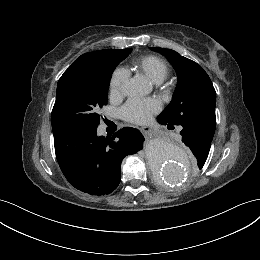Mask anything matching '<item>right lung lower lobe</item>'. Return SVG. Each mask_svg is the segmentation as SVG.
<instances>
[{
    "label": "right lung lower lobe",
    "mask_w": 260,
    "mask_h": 260,
    "mask_svg": "<svg viewBox=\"0 0 260 260\" xmlns=\"http://www.w3.org/2000/svg\"><path fill=\"white\" fill-rule=\"evenodd\" d=\"M144 137L124 127L112 137L97 135V127L54 136L58 164L69 183L90 195L114 191L121 180V162L143 147Z\"/></svg>",
    "instance_id": "obj_1"
}]
</instances>
